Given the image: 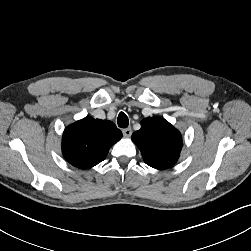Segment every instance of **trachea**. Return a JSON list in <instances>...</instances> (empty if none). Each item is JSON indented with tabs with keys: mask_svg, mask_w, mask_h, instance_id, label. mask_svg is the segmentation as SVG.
I'll return each mask as SVG.
<instances>
[{
	"mask_svg": "<svg viewBox=\"0 0 251 251\" xmlns=\"http://www.w3.org/2000/svg\"><path fill=\"white\" fill-rule=\"evenodd\" d=\"M117 123L120 128H127L129 125V120L124 112H120L117 118Z\"/></svg>",
	"mask_w": 251,
	"mask_h": 251,
	"instance_id": "obj_1",
	"label": "trachea"
}]
</instances>
